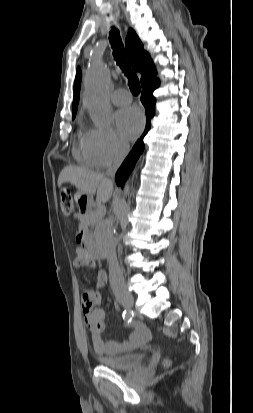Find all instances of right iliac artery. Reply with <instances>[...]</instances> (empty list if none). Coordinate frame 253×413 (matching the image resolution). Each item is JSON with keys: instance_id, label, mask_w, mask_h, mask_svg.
<instances>
[{"instance_id": "82829eb1", "label": "right iliac artery", "mask_w": 253, "mask_h": 413, "mask_svg": "<svg viewBox=\"0 0 253 413\" xmlns=\"http://www.w3.org/2000/svg\"><path fill=\"white\" fill-rule=\"evenodd\" d=\"M122 317L128 323L131 322V320H132V317H131L130 313H128L126 310H124L122 312Z\"/></svg>"}]
</instances>
